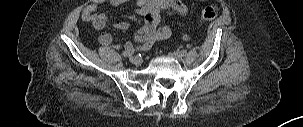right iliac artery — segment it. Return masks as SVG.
<instances>
[{"instance_id": "82829eb1", "label": "right iliac artery", "mask_w": 303, "mask_h": 127, "mask_svg": "<svg viewBox=\"0 0 303 127\" xmlns=\"http://www.w3.org/2000/svg\"><path fill=\"white\" fill-rule=\"evenodd\" d=\"M134 53V50H125L122 52L124 56H131Z\"/></svg>"}]
</instances>
